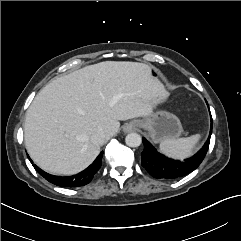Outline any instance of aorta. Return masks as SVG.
Returning a JSON list of instances; mask_svg holds the SVG:
<instances>
[{
    "label": "aorta",
    "mask_w": 241,
    "mask_h": 241,
    "mask_svg": "<svg viewBox=\"0 0 241 241\" xmlns=\"http://www.w3.org/2000/svg\"><path fill=\"white\" fill-rule=\"evenodd\" d=\"M126 145L129 147H139L142 143V138L138 133H129L125 138Z\"/></svg>",
    "instance_id": "aorta-1"
}]
</instances>
